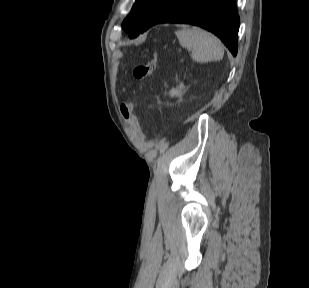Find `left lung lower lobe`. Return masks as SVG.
<instances>
[{"instance_id": "obj_1", "label": "left lung lower lobe", "mask_w": 309, "mask_h": 288, "mask_svg": "<svg viewBox=\"0 0 309 288\" xmlns=\"http://www.w3.org/2000/svg\"><path fill=\"white\" fill-rule=\"evenodd\" d=\"M236 0H162L142 28L130 38L160 23L200 26L218 36L231 53L237 54L239 16Z\"/></svg>"}]
</instances>
